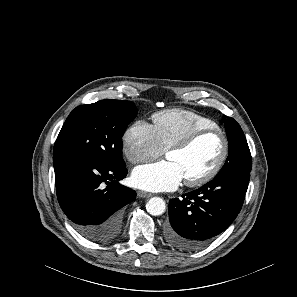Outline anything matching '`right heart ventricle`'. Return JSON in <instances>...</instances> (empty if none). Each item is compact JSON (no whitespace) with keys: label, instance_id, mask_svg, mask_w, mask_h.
<instances>
[{"label":"right heart ventricle","instance_id":"1","mask_svg":"<svg viewBox=\"0 0 297 297\" xmlns=\"http://www.w3.org/2000/svg\"><path fill=\"white\" fill-rule=\"evenodd\" d=\"M157 139L165 150L178 139L192 131L217 127L212 120L186 110H167L153 116Z\"/></svg>","mask_w":297,"mask_h":297}]
</instances>
